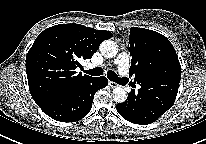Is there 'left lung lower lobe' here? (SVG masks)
<instances>
[{"mask_svg":"<svg viewBox=\"0 0 206 144\" xmlns=\"http://www.w3.org/2000/svg\"><path fill=\"white\" fill-rule=\"evenodd\" d=\"M176 96L171 93L148 95L145 86L141 85L138 92L132 90L127 101L117 104L118 113L127 121L134 124H151L169 110Z\"/></svg>","mask_w":206,"mask_h":144,"instance_id":"1","label":"left lung lower lobe"}]
</instances>
